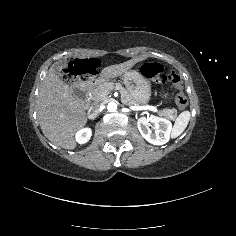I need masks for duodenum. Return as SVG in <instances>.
<instances>
[{
    "label": "duodenum",
    "mask_w": 236,
    "mask_h": 236,
    "mask_svg": "<svg viewBox=\"0 0 236 236\" xmlns=\"http://www.w3.org/2000/svg\"><path fill=\"white\" fill-rule=\"evenodd\" d=\"M98 82V78L91 74H84L73 88L74 96L85 106L88 90Z\"/></svg>",
    "instance_id": "duodenum-1"
}]
</instances>
